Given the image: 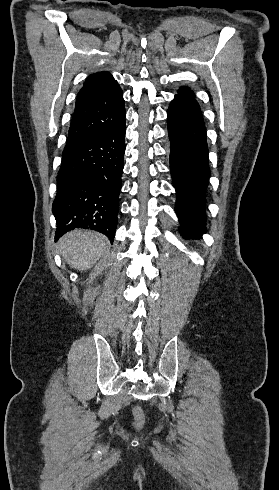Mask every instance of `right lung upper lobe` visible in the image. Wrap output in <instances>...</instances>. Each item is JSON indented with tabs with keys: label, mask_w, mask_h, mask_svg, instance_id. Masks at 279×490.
Listing matches in <instances>:
<instances>
[{
	"label": "right lung upper lobe",
	"mask_w": 279,
	"mask_h": 490,
	"mask_svg": "<svg viewBox=\"0 0 279 490\" xmlns=\"http://www.w3.org/2000/svg\"><path fill=\"white\" fill-rule=\"evenodd\" d=\"M125 120L122 90L109 72L91 74L79 91L66 146L99 136Z\"/></svg>",
	"instance_id": "cb5924a9"
}]
</instances>
